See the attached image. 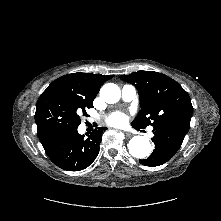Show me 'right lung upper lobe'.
Here are the masks:
<instances>
[{"label":"right lung upper lobe","instance_id":"1","mask_svg":"<svg viewBox=\"0 0 221 221\" xmlns=\"http://www.w3.org/2000/svg\"><path fill=\"white\" fill-rule=\"evenodd\" d=\"M113 76L93 73H72L56 79L48 87L60 86L67 88L84 100L93 103L101 85Z\"/></svg>","mask_w":221,"mask_h":221}]
</instances>
